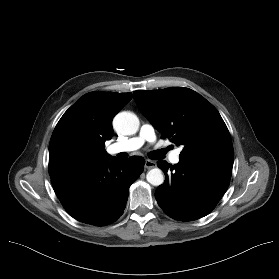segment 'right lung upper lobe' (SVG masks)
I'll use <instances>...</instances> for the list:
<instances>
[{
  "mask_svg": "<svg viewBox=\"0 0 279 279\" xmlns=\"http://www.w3.org/2000/svg\"><path fill=\"white\" fill-rule=\"evenodd\" d=\"M132 99L131 93L90 92L61 117L49 144V174L77 171L111 158L105 141L113 135L112 119Z\"/></svg>",
  "mask_w": 279,
  "mask_h": 279,
  "instance_id": "cb5924a9",
  "label": "right lung upper lobe"
}]
</instances>
